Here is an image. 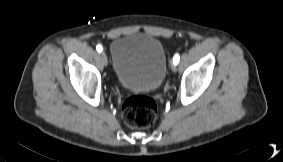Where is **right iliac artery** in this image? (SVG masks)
I'll return each mask as SVG.
<instances>
[{
	"instance_id": "1",
	"label": "right iliac artery",
	"mask_w": 283,
	"mask_h": 162,
	"mask_svg": "<svg viewBox=\"0 0 283 162\" xmlns=\"http://www.w3.org/2000/svg\"><path fill=\"white\" fill-rule=\"evenodd\" d=\"M96 50H97L98 52H101V51L103 50V48H102L101 45H97V46H96Z\"/></svg>"
}]
</instances>
